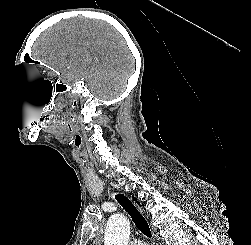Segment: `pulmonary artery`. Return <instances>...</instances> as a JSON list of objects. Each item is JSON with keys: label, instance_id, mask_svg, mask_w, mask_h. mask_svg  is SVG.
I'll use <instances>...</instances> for the list:
<instances>
[{"label": "pulmonary artery", "instance_id": "pulmonary-artery-1", "mask_svg": "<svg viewBox=\"0 0 251 245\" xmlns=\"http://www.w3.org/2000/svg\"><path fill=\"white\" fill-rule=\"evenodd\" d=\"M130 245H147V243L141 240H134Z\"/></svg>", "mask_w": 251, "mask_h": 245}]
</instances>
